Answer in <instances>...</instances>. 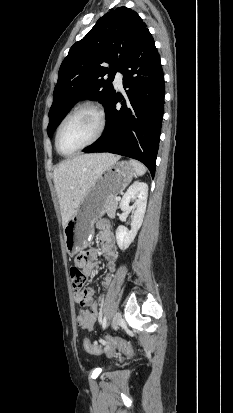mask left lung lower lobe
I'll return each instance as SVG.
<instances>
[{"label":"left lung lower lobe","instance_id":"0a47b994","mask_svg":"<svg viewBox=\"0 0 233 413\" xmlns=\"http://www.w3.org/2000/svg\"><path fill=\"white\" fill-rule=\"evenodd\" d=\"M126 98L114 95L105 133L84 152H110L137 159L155 174L164 111V76L154 39L146 32L120 69ZM122 107L117 110L116 103Z\"/></svg>","mask_w":233,"mask_h":413}]
</instances>
